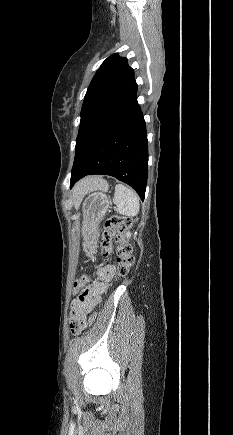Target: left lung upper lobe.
Masks as SVG:
<instances>
[{
  "label": "left lung upper lobe",
  "instance_id": "1",
  "mask_svg": "<svg viewBox=\"0 0 233 435\" xmlns=\"http://www.w3.org/2000/svg\"><path fill=\"white\" fill-rule=\"evenodd\" d=\"M137 84L127 59L117 53L109 56L94 75L81 109L74 162L98 135L134 103Z\"/></svg>",
  "mask_w": 233,
  "mask_h": 435
}]
</instances>
